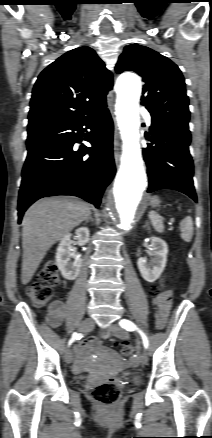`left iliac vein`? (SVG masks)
I'll list each match as a JSON object with an SVG mask.
<instances>
[{"instance_id": "obj_1", "label": "left iliac vein", "mask_w": 212, "mask_h": 438, "mask_svg": "<svg viewBox=\"0 0 212 438\" xmlns=\"http://www.w3.org/2000/svg\"><path fill=\"white\" fill-rule=\"evenodd\" d=\"M109 332H111L114 336H116L117 338L120 339H127L129 337L128 333L120 328L117 325H111L109 328ZM139 360L141 362V364H146L148 361V356H147V352L143 351L140 356H139Z\"/></svg>"}]
</instances>
